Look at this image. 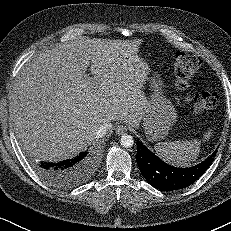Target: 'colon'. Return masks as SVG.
<instances>
[{"mask_svg":"<svg viewBox=\"0 0 231 231\" xmlns=\"http://www.w3.org/2000/svg\"><path fill=\"white\" fill-rule=\"evenodd\" d=\"M201 61L198 57L187 54H177L174 62L176 85L180 89H186L189 80L200 68ZM189 104L196 112L211 110L218 104V97L210 91H201L188 98Z\"/></svg>","mask_w":231,"mask_h":231,"instance_id":"colon-1","label":"colon"}]
</instances>
